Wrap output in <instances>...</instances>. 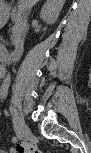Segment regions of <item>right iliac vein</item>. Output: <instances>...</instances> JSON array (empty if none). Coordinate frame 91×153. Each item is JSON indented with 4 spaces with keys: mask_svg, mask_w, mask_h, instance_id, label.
I'll return each mask as SVG.
<instances>
[{
    "mask_svg": "<svg viewBox=\"0 0 91 153\" xmlns=\"http://www.w3.org/2000/svg\"><path fill=\"white\" fill-rule=\"evenodd\" d=\"M14 117L16 118V122H17L16 126L18 127L22 135L26 138H31L32 132L27 126V124L25 123L23 117L19 114L17 110H15Z\"/></svg>",
    "mask_w": 91,
    "mask_h": 153,
    "instance_id": "obj_1",
    "label": "right iliac vein"
}]
</instances>
